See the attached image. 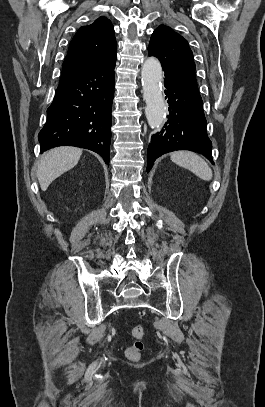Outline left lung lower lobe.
<instances>
[{
	"label": "left lung lower lobe",
	"instance_id": "0a47b994",
	"mask_svg": "<svg viewBox=\"0 0 265 407\" xmlns=\"http://www.w3.org/2000/svg\"><path fill=\"white\" fill-rule=\"evenodd\" d=\"M164 86L169 116L164 128L152 136L147 151V172L159 156L175 150L196 151L213 163L199 92L171 76H165Z\"/></svg>",
	"mask_w": 265,
	"mask_h": 407
}]
</instances>
